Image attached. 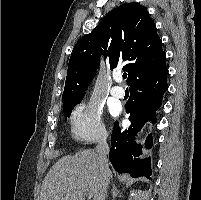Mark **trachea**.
<instances>
[{
    "instance_id": "1",
    "label": "trachea",
    "mask_w": 201,
    "mask_h": 200,
    "mask_svg": "<svg viewBox=\"0 0 201 200\" xmlns=\"http://www.w3.org/2000/svg\"><path fill=\"white\" fill-rule=\"evenodd\" d=\"M126 78H127V74L123 73V79H126Z\"/></svg>"
}]
</instances>
